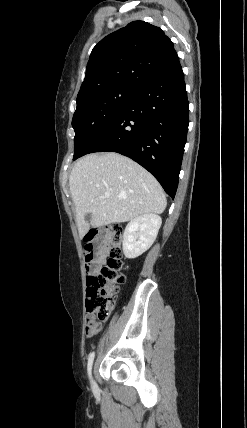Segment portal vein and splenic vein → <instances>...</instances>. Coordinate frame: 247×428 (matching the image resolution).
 I'll use <instances>...</instances> for the list:
<instances>
[{"instance_id": "1", "label": "portal vein and splenic vein", "mask_w": 247, "mask_h": 428, "mask_svg": "<svg viewBox=\"0 0 247 428\" xmlns=\"http://www.w3.org/2000/svg\"><path fill=\"white\" fill-rule=\"evenodd\" d=\"M109 197V195L108 194H105V198H108Z\"/></svg>"}]
</instances>
